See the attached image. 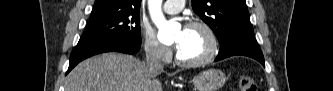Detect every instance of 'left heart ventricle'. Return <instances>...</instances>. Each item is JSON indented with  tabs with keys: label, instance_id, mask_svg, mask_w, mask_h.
I'll return each mask as SVG.
<instances>
[{
	"label": "left heart ventricle",
	"instance_id": "left-heart-ventricle-1",
	"mask_svg": "<svg viewBox=\"0 0 333 91\" xmlns=\"http://www.w3.org/2000/svg\"><path fill=\"white\" fill-rule=\"evenodd\" d=\"M181 31L176 34V40ZM209 49V39L205 32L198 27L186 28L183 36V43L178 50L181 58L185 60H197L205 56Z\"/></svg>",
	"mask_w": 333,
	"mask_h": 91
}]
</instances>
